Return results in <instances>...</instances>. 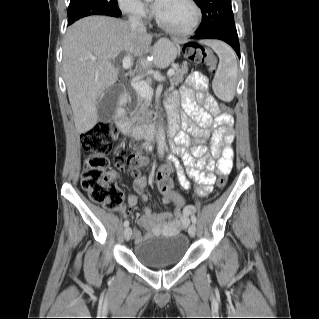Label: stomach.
Returning a JSON list of instances; mask_svg holds the SVG:
<instances>
[{
    "label": "stomach",
    "instance_id": "obj_1",
    "mask_svg": "<svg viewBox=\"0 0 319 319\" xmlns=\"http://www.w3.org/2000/svg\"><path fill=\"white\" fill-rule=\"evenodd\" d=\"M155 53L157 65L164 67L174 61L178 54V48L173 42L161 39L155 45Z\"/></svg>",
    "mask_w": 319,
    "mask_h": 319
}]
</instances>
